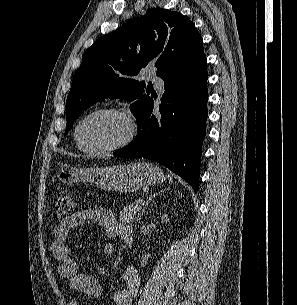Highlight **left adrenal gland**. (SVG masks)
<instances>
[{
    "label": "left adrenal gland",
    "instance_id": "obj_1",
    "mask_svg": "<svg viewBox=\"0 0 297 305\" xmlns=\"http://www.w3.org/2000/svg\"><path fill=\"white\" fill-rule=\"evenodd\" d=\"M166 190H169V189H164V190H161V191H159V192H156L155 194L151 195V196L147 199V201H146V203H145V206L143 207V210H142L141 214L139 215V217H138V219H137L138 221L141 219V216L144 214L146 208L148 207V205H149V203L152 201V199L155 198V196H157L158 194H161V193H163V192L166 191Z\"/></svg>",
    "mask_w": 297,
    "mask_h": 305
}]
</instances>
